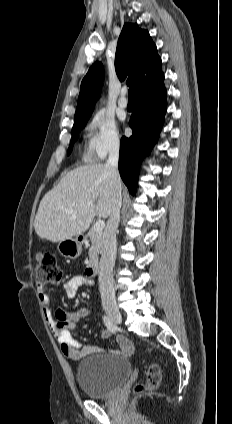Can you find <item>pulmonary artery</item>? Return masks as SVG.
Listing matches in <instances>:
<instances>
[{
  "label": "pulmonary artery",
  "mask_w": 232,
  "mask_h": 424,
  "mask_svg": "<svg viewBox=\"0 0 232 424\" xmlns=\"http://www.w3.org/2000/svg\"><path fill=\"white\" fill-rule=\"evenodd\" d=\"M118 105L121 108H126L128 106V100L126 98V91L125 90L121 91L120 97L118 99Z\"/></svg>",
  "instance_id": "1"
}]
</instances>
